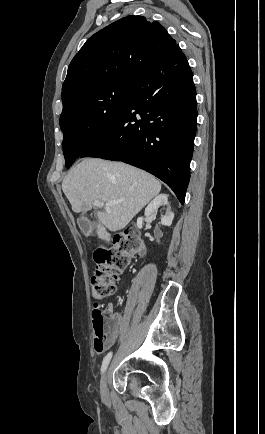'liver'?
Returning a JSON list of instances; mask_svg holds the SVG:
<instances>
[{"instance_id":"liver-1","label":"liver","mask_w":265,"mask_h":434,"mask_svg":"<svg viewBox=\"0 0 265 434\" xmlns=\"http://www.w3.org/2000/svg\"><path fill=\"white\" fill-rule=\"evenodd\" d=\"M62 190L76 214H86L93 208L94 200L105 204L124 198V202L110 206L108 212H97L98 238L110 242L111 236L107 230H123L132 218L159 194L161 184L151 174L122 162L83 158L82 162L65 176Z\"/></svg>"}]
</instances>
